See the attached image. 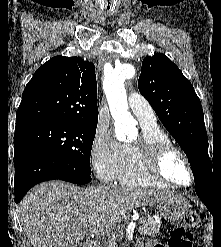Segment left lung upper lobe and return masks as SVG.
Listing matches in <instances>:
<instances>
[{"mask_svg": "<svg viewBox=\"0 0 221 247\" xmlns=\"http://www.w3.org/2000/svg\"><path fill=\"white\" fill-rule=\"evenodd\" d=\"M138 88L187 155L195 183L214 180L203 110L190 81L167 56L157 53L144 58Z\"/></svg>", "mask_w": 221, "mask_h": 247, "instance_id": "1", "label": "left lung upper lobe"}]
</instances>
